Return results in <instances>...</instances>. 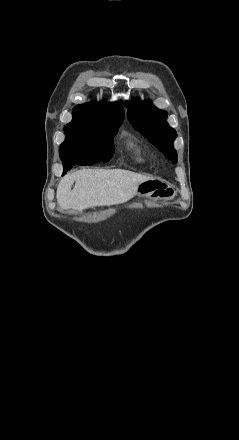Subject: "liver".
Returning a JSON list of instances; mask_svg holds the SVG:
<instances>
[{"label": "liver", "instance_id": "obj_1", "mask_svg": "<svg viewBox=\"0 0 239 440\" xmlns=\"http://www.w3.org/2000/svg\"><path fill=\"white\" fill-rule=\"evenodd\" d=\"M148 180L151 178L128 170H79L62 178L56 198L62 210L83 212L94 206H115L131 200Z\"/></svg>", "mask_w": 239, "mask_h": 440}]
</instances>
